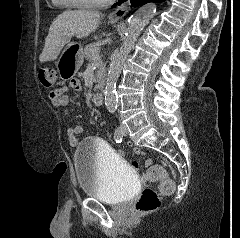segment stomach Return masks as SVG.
I'll return each mask as SVG.
<instances>
[{"label": "stomach", "mask_w": 240, "mask_h": 238, "mask_svg": "<svg viewBox=\"0 0 240 238\" xmlns=\"http://www.w3.org/2000/svg\"><path fill=\"white\" fill-rule=\"evenodd\" d=\"M83 48L76 42H68L56 61V69L61 79L75 75L83 63Z\"/></svg>", "instance_id": "1"}]
</instances>
